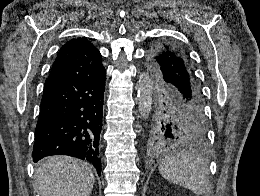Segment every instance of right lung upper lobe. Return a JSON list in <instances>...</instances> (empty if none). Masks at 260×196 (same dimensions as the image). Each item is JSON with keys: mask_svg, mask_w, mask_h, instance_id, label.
Listing matches in <instances>:
<instances>
[{"mask_svg": "<svg viewBox=\"0 0 260 196\" xmlns=\"http://www.w3.org/2000/svg\"><path fill=\"white\" fill-rule=\"evenodd\" d=\"M101 54L87 39H72L62 46L44 84L49 93L67 84H73L102 75Z\"/></svg>", "mask_w": 260, "mask_h": 196, "instance_id": "1", "label": "right lung upper lobe"}]
</instances>
